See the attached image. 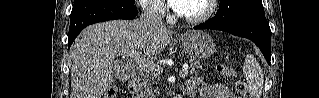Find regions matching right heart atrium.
Instances as JSON below:
<instances>
[{
	"label": "right heart atrium",
	"mask_w": 319,
	"mask_h": 98,
	"mask_svg": "<svg viewBox=\"0 0 319 98\" xmlns=\"http://www.w3.org/2000/svg\"><path fill=\"white\" fill-rule=\"evenodd\" d=\"M145 11L152 17H161L166 14V7L162 1H140Z\"/></svg>",
	"instance_id": "1"
}]
</instances>
